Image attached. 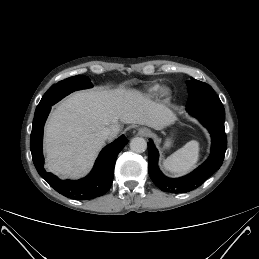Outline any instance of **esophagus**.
I'll return each instance as SVG.
<instances>
[{
	"label": "esophagus",
	"instance_id": "obj_1",
	"mask_svg": "<svg viewBox=\"0 0 259 259\" xmlns=\"http://www.w3.org/2000/svg\"><path fill=\"white\" fill-rule=\"evenodd\" d=\"M138 134L140 136L146 137V136H148L150 134V130L148 128L143 127V128L139 129Z\"/></svg>",
	"mask_w": 259,
	"mask_h": 259
}]
</instances>
